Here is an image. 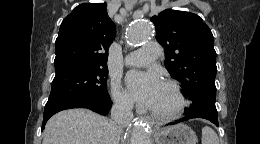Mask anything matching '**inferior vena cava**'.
Listing matches in <instances>:
<instances>
[{
  "label": "inferior vena cava",
  "instance_id": "obj_1",
  "mask_svg": "<svg viewBox=\"0 0 260 144\" xmlns=\"http://www.w3.org/2000/svg\"><path fill=\"white\" fill-rule=\"evenodd\" d=\"M133 102L125 98H117L111 109V122L113 130L121 134L122 130L131 122L133 118ZM119 144V142H116Z\"/></svg>",
  "mask_w": 260,
  "mask_h": 144
}]
</instances>
